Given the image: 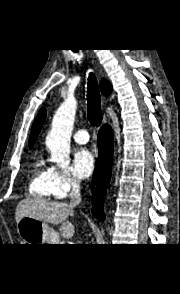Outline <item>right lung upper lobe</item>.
<instances>
[{"label": "right lung upper lobe", "mask_w": 180, "mask_h": 294, "mask_svg": "<svg viewBox=\"0 0 180 294\" xmlns=\"http://www.w3.org/2000/svg\"><path fill=\"white\" fill-rule=\"evenodd\" d=\"M100 88H101V92L103 95L107 96L111 93L112 91V86L111 83L107 80H105V82H101L100 84ZM45 117H46V110L45 108H42L40 110V112L38 113L34 124L32 126V130H31V134H30V138H29V147L32 148V146L34 145L37 136L43 126V123L45 121Z\"/></svg>", "instance_id": "right-lung-upper-lobe-1"}]
</instances>
